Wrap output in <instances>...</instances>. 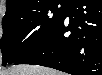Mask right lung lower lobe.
Wrapping results in <instances>:
<instances>
[{
  "instance_id": "right-lung-lower-lobe-1",
  "label": "right lung lower lobe",
  "mask_w": 102,
  "mask_h": 75,
  "mask_svg": "<svg viewBox=\"0 0 102 75\" xmlns=\"http://www.w3.org/2000/svg\"><path fill=\"white\" fill-rule=\"evenodd\" d=\"M99 10V1L70 0L64 19L32 52L14 64L41 65L72 75L101 74L102 15Z\"/></svg>"
}]
</instances>
